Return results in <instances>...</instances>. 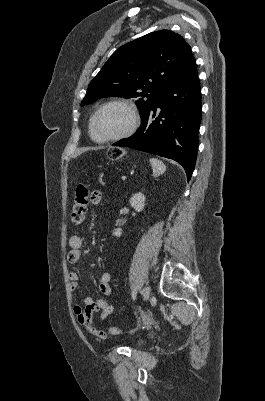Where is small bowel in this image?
Here are the masks:
<instances>
[{"instance_id":"small-bowel-1","label":"small bowel","mask_w":265,"mask_h":401,"mask_svg":"<svg viewBox=\"0 0 265 401\" xmlns=\"http://www.w3.org/2000/svg\"><path fill=\"white\" fill-rule=\"evenodd\" d=\"M102 199L99 191H92L89 197V201L92 205L100 204ZM70 251L67 255V260L71 264H76L81 258V249L83 246V239L79 235H72L69 238ZM79 274L77 271H71L69 273L70 289L75 290L78 285ZM111 274L109 272H103L98 278V288L102 295L109 296L112 292L111 288ZM85 308L76 305L73 310L77 319L81 325L87 328L88 325L93 326V317L99 313V317L104 320L113 312V306L109 305L104 299L88 296L84 300ZM101 333L96 336L100 340L107 339V333L99 330Z\"/></svg>"}]
</instances>
